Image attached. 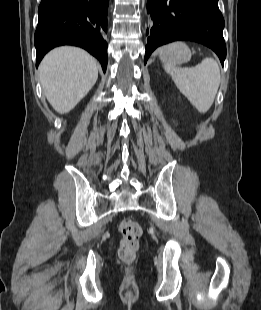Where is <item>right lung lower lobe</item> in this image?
Segmentation results:
<instances>
[{"instance_id": "1", "label": "right lung lower lobe", "mask_w": 261, "mask_h": 310, "mask_svg": "<svg viewBox=\"0 0 261 310\" xmlns=\"http://www.w3.org/2000/svg\"><path fill=\"white\" fill-rule=\"evenodd\" d=\"M109 0H41L34 42L36 66L59 45L86 49L107 67V11Z\"/></svg>"}]
</instances>
